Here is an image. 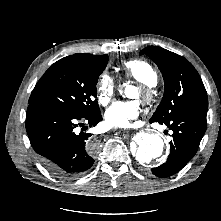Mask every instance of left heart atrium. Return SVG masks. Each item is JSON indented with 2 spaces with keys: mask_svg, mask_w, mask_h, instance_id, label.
<instances>
[{
  "mask_svg": "<svg viewBox=\"0 0 221 221\" xmlns=\"http://www.w3.org/2000/svg\"><path fill=\"white\" fill-rule=\"evenodd\" d=\"M140 113L137 101H116L105 112V122L110 127L128 128Z\"/></svg>",
  "mask_w": 221,
  "mask_h": 221,
  "instance_id": "1",
  "label": "left heart atrium"
}]
</instances>
